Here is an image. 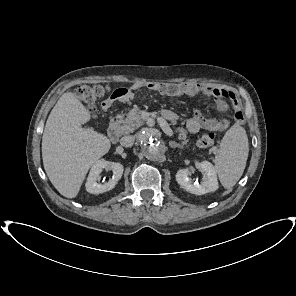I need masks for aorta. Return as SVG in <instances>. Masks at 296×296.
Listing matches in <instances>:
<instances>
[{
	"label": "aorta",
	"mask_w": 296,
	"mask_h": 296,
	"mask_svg": "<svg viewBox=\"0 0 296 296\" xmlns=\"http://www.w3.org/2000/svg\"><path fill=\"white\" fill-rule=\"evenodd\" d=\"M138 144L149 160H159L165 152L164 145L149 132H142L138 137Z\"/></svg>",
	"instance_id": "aorta-1"
}]
</instances>
